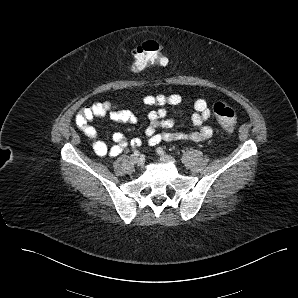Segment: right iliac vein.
Masks as SVG:
<instances>
[{
	"label": "right iliac vein",
	"instance_id": "63e3f726",
	"mask_svg": "<svg viewBox=\"0 0 298 298\" xmlns=\"http://www.w3.org/2000/svg\"><path fill=\"white\" fill-rule=\"evenodd\" d=\"M130 160L133 164H137L139 162V157L137 155H131Z\"/></svg>",
	"mask_w": 298,
	"mask_h": 298
}]
</instances>
